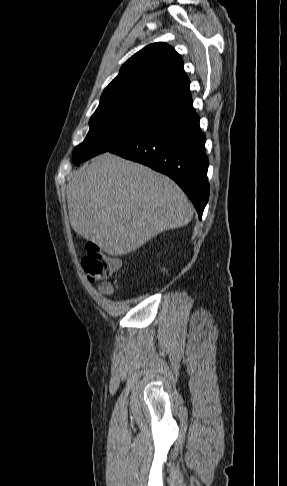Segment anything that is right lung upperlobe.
Instances as JSON below:
<instances>
[{
	"mask_svg": "<svg viewBox=\"0 0 287 486\" xmlns=\"http://www.w3.org/2000/svg\"><path fill=\"white\" fill-rule=\"evenodd\" d=\"M189 84L180 55L166 43H152L125 62L98 107L144 103L173 111L192 102Z\"/></svg>",
	"mask_w": 287,
	"mask_h": 486,
	"instance_id": "cb5924a9",
	"label": "right lung upper lobe"
}]
</instances>
